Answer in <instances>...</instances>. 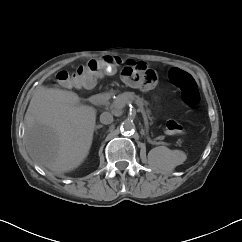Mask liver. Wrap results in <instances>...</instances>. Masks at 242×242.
I'll return each instance as SVG.
<instances>
[{
    "label": "liver",
    "mask_w": 242,
    "mask_h": 242,
    "mask_svg": "<svg viewBox=\"0 0 242 242\" xmlns=\"http://www.w3.org/2000/svg\"><path fill=\"white\" fill-rule=\"evenodd\" d=\"M95 122V108L76 93L39 86L24 117L27 152L56 174L72 171L89 153Z\"/></svg>",
    "instance_id": "6515ba94"
}]
</instances>
